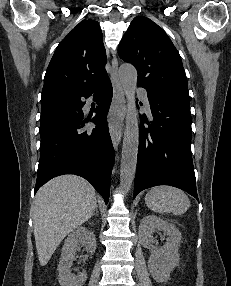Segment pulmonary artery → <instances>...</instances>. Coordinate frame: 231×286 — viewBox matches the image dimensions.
I'll return each mask as SVG.
<instances>
[{"mask_svg": "<svg viewBox=\"0 0 231 286\" xmlns=\"http://www.w3.org/2000/svg\"><path fill=\"white\" fill-rule=\"evenodd\" d=\"M137 92L140 94L144 104L149 106L148 94L144 88H137Z\"/></svg>", "mask_w": 231, "mask_h": 286, "instance_id": "e3ab8cb5", "label": "pulmonary artery"}]
</instances>
